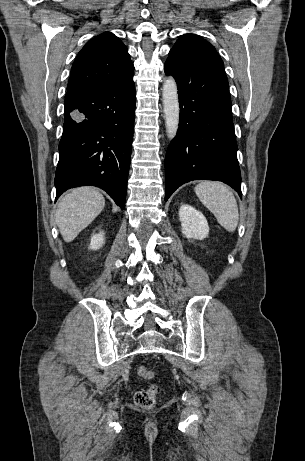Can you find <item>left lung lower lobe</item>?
<instances>
[{"instance_id":"obj_1","label":"left lung lower lobe","mask_w":305,"mask_h":461,"mask_svg":"<svg viewBox=\"0 0 305 461\" xmlns=\"http://www.w3.org/2000/svg\"><path fill=\"white\" fill-rule=\"evenodd\" d=\"M180 104L179 129L165 158V200L192 180H218L241 197V175L232 106L223 63H186L168 58Z\"/></svg>"}]
</instances>
